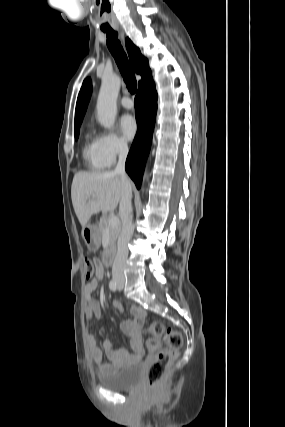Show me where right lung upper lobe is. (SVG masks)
<instances>
[{
    "mask_svg": "<svg viewBox=\"0 0 285 427\" xmlns=\"http://www.w3.org/2000/svg\"><path fill=\"white\" fill-rule=\"evenodd\" d=\"M126 48L129 55L130 62L135 69L136 73L142 76V80L139 81L138 86L145 81L147 78L151 77V70L148 67V61L145 57L141 55L140 50L131 42L129 38H126ZM92 86L91 79L87 78L82 84V88L78 95L76 111H75V128H79L84 117L90 96H91Z\"/></svg>",
    "mask_w": 285,
    "mask_h": 427,
    "instance_id": "obj_1",
    "label": "right lung upper lobe"
}]
</instances>
